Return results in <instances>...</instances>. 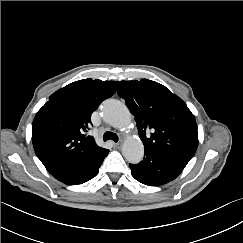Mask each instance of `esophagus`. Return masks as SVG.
Returning <instances> with one entry per match:
<instances>
[{
  "label": "esophagus",
  "instance_id": "34e87169",
  "mask_svg": "<svg viewBox=\"0 0 243 243\" xmlns=\"http://www.w3.org/2000/svg\"><path fill=\"white\" fill-rule=\"evenodd\" d=\"M114 147L119 149L121 147V143H114Z\"/></svg>",
  "mask_w": 243,
  "mask_h": 243
}]
</instances>
